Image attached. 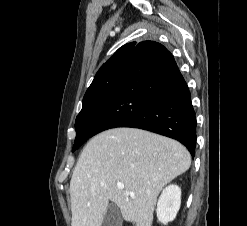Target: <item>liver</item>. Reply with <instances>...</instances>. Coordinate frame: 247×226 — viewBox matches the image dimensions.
Listing matches in <instances>:
<instances>
[{
    "instance_id": "obj_1",
    "label": "liver",
    "mask_w": 247,
    "mask_h": 226,
    "mask_svg": "<svg viewBox=\"0 0 247 226\" xmlns=\"http://www.w3.org/2000/svg\"><path fill=\"white\" fill-rule=\"evenodd\" d=\"M190 165L188 150L161 135L125 127L96 135L83 149L70 181L71 226H101L109 201L125 221L151 226L160 191Z\"/></svg>"
}]
</instances>
